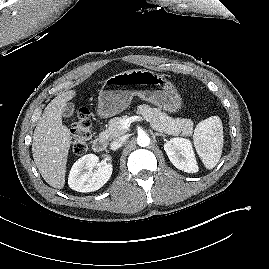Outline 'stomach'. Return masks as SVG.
Instances as JSON below:
<instances>
[{"mask_svg": "<svg viewBox=\"0 0 269 269\" xmlns=\"http://www.w3.org/2000/svg\"><path fill=\"white\" fill-rule=\"evenodd\" d=\"M136 95L169 113H176L183 106L176 87L164 76L145 69H132L105 80L98 96L97 113L102 118L119 114Z\"/></svg>", "mask_w": 269, "mask_h": 269, "instance_id": "obj_1", "label": "stomach"}]
</instances>
